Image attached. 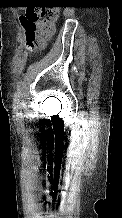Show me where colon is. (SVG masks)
Masks as SVG:
<instances>
[{
	"label": "colon",
	"instance_id": "obj_1",
	"mask_svg": "<svg viewBox=\"0 0 122 218\" xmlns=\"http://www.w3.org/2000/svg\"><path fill=\"white\" fill-rule=\"evenodd\" d=\"M56 9L32 8L28 9L23 17L25 28L26 47L34 51L41 46L53 33L54 23L57 19Z\"/></svg>",
	"mask_w": 122,
	"mask_h": 218
}]
</instances>
